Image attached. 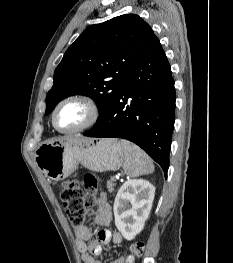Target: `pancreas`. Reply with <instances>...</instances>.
<instances>
[{
    "label": "pancreas",
    "mask_w": 233,
    "mask_h": 263,
    "mask_svg": "<svg viewBox=\"0 0 233 263\" xmlns=\"http://www.w3.org/2000/svg\"><path fill=\"white\" fill-rule=\"evenodd\" d=\"M114 187H115V183L113 182V180L107 182V188L109 192H112L114 190Z\"/></svg>",
    "instance_id": "obj_1"
}]
</instances>
